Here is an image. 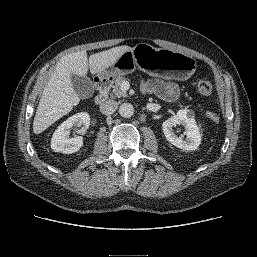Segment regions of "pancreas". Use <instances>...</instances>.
<instances>
[{
    "instance_id": "pancreas-1",
    "label": "pancreas",
    "mask_w": 257,
    "mask_h": 257,
    "mask_svg": "<svg viewBox=\"0 0 257 257\" xmlns=\"http://www.w3.org/2000/svg\"><path fill=\"white\" fill-rule=\"evenodd\" d=\"M125 77H117L115 79V84L112 86V92H111V97H117V98H121V97H127V93L125 90H122V83L125 81Z\"/></svg>"
}]
</instances>
